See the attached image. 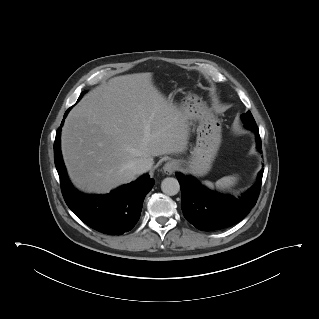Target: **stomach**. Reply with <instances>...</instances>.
Here are the masks:
<instances>
[{
    "instance_id": "1",
    "label": "stomach",
    "mask_w": 319,
    "mask_h": 319,
    "mask_svg": "<svg viewBox=\"0 0 319 319\" xmlns=\"http://www.w3.org/2000/svg\"><path fill=\"white\" fill-rule=\"evenodd\" d=\"M189 120L198 123L196 146L188 160H174L184 172L195 176L206 175L217 155L222 138V123L206 103L195 94H188L181 102Z\"/></svg>"
}]
</instances>
